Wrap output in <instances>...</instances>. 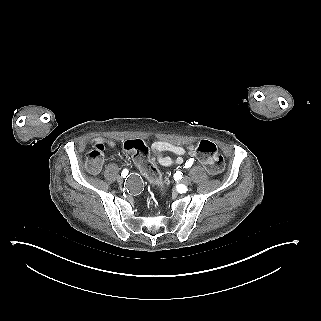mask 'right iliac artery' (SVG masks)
<instances>
[{
    "instance_id": "obj_1",
    "label": "right iliac artery",
    "mask_w": 321,
    "mask_h": 321,
    "mask_svg": "<svg viewBox=\"0 0 321 321\" xmlns=\"http://www.w3.org/2000/svg\"><path fill=\"white\" fill-rule=\"evenodd\" d=\"M127 175H128V170H127V169H124V170L121 172V176L126 177Z\"/></svg>"
}]
</instances>
